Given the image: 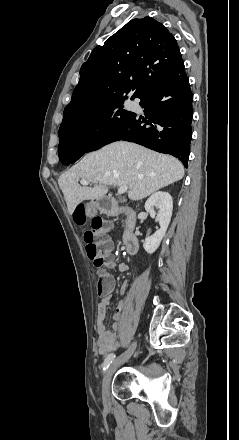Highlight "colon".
Here are the masks:
<instances>
[{
  "mask_svg": "<svg viewBox=\"0 0 239 440\" xmlns=\"http://www.w3.org/2000/svg\"><path fill=\"white\" fill-rule=\"evenodd\" d=\"M76 216L78 222L82 224L84 222V209L82 206L78 207ZM111 229V221L105 218L95 217L92 220L91 228L84 233L87 256L96 267L101 269L98 282L99 294H104L108 290L110 276L106 272V269L114 266L111 256L112 243L108 237V233Z\"/></svg>",
  "mask_w": 239,
  "mask_h": 440,
  "instance_id": "5ec220e1",
  "label": "colon"
}]
</instances>
